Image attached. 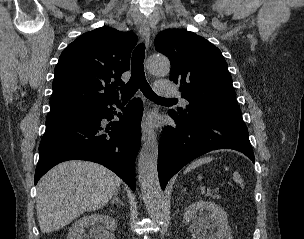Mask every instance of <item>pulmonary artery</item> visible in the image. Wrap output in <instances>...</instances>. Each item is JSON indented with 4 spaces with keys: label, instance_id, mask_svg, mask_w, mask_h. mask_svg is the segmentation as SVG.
<instances>
[{
    "label": "pulmonary artery",
    "instance_id": "obj_1",
    "mask_svg": "<svg viewBox=\"0 0 304 239\" xmlns=\"http://www.w3.org/2000/svg\"><path fill=\"white\" fill-rule=\"evenodd\" d=\"M156 92L158 95L163 97H179V92L175 87L167 81H159L156 84ZM182 103L186 104L187 101L181 98Z\"/></svg>",
    "mask_w": 304,
    "mask_h": 239
}]
</instances>
